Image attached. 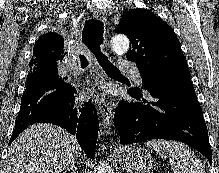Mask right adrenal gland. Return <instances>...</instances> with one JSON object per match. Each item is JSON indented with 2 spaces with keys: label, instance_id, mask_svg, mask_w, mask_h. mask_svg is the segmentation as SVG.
<instances>
[{
  "label": "right adrenal gland",
  "instance_id": "obj_1",
  "mask_svg": "<svg viewBox=\"0 0 219 173\" xmlns=\"http://www.w3.org/2000/svg\"><path fill=\"white\" fill-rule=\"evenodd\" d=\"M70 170H72L73 173H77V168H76V166H75V163L71 164L70 168L66 169V170L64 171V173H67V172H69Z\"/></svg>",
  "mask_w": 219,
  "mask_h": 173
}]
</instances>
